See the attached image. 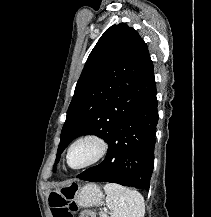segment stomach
Segmentation results:
<instances>
[{
	"instance_id": "stomach-1",
	"label": "stomach",
	"mask_w": 211,
	"mask_h": 217,
	"mask_svg": "<svg viewBox=\"0 0 211 217\" xmlns=\"http://www.w3.org/2000/svg\"><path fill=\"white\" fill-rule=\"evenodd\" d=\"M102 190L97 184H86L75 194L76 203L81 207H92L102 201Z\"/></svg>"
}]
</instances>
